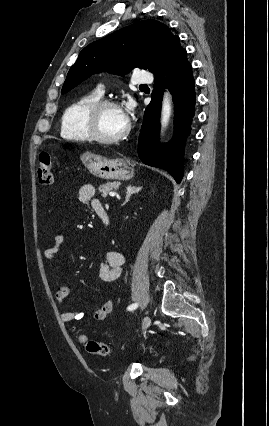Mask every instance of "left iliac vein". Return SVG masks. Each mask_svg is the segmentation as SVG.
Returning <instances> with one entry per match:
<instances>
[{
    "mask_svg": "<svg viewBox=\"0 0 269 426\" xmlns=\"http://www.w3.org/2000/svg\"><path fill=\"white\" fill-rule=\"evenodd\" d=\"M151 319L149 316H145L142 323V333L144 334L148 327L150 326Z\"/></svg>",
    "mask_w": 269,
    "mask_h": 426,
    "instance_id": "4c4485c4",
    "label": "left iliac vein"
}]
</instances>
